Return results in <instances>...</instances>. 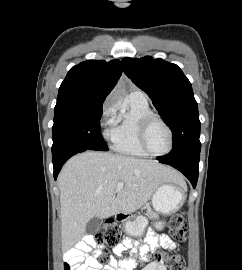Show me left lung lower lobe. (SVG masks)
<instances>
[{
  "label": "left lung lower lobe",
  "mask_w": 242,
  "mask_h": 270,
  "mask_svg": "<svg viewBox=\"0 0 242 270\" xmlns=\"http://www.w3.org/2000/svg\"><path fill=\"white\" fill-rule=\"evenodd\" d=\"M200 151L190 153L178 158L157 157L160 163L169 164L181 171L192 183L195 188L198 179Z\"/></svg>",
  "instance_id": "1"
}]
</instances>
